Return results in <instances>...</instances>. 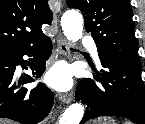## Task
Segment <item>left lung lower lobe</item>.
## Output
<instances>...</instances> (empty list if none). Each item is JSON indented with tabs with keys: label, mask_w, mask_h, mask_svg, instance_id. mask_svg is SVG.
Listing matches in <instances>:
<instances>
[{
	"label": "left lung lower lobe",
	"mask_w": 145,
	"mask_h": 124,
	"mask_svg": "<svg viewBox=\"0 0 145 124\" xmlns=\"http://www.w3.org/2000/svg\"><path fill=\"white\" fill-rule=\"evenodd\" d=\"M94 80L83 79L75 98L87 104L82 123L99 116H119L145 124V87L141 69L115 60H101Z\"/></svg>",
	"instance_id": "0a47b994"
}]
</instances>
